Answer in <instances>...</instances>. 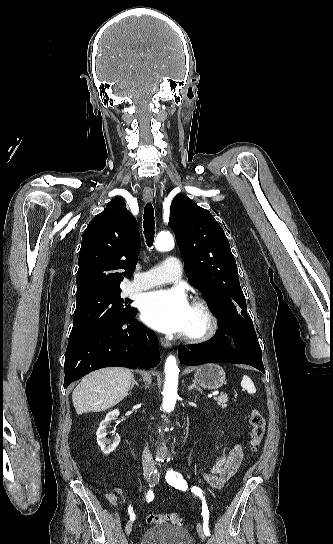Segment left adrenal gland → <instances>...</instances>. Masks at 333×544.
<instances>
[{"label": "left adrenal gland", "instance_id": "obj_1", "mask_svg": "<svg viewBox=\"0 0 333 544\" xmlns=\"http://www.w3.org/2000/svg\"><path fill=\"white\" fill-rule=\"evenodd\" d=\"M193 384L191 386L188 387V390L191 391L192 389H196L197 391H199L200 393H202V390L200 387L197 386L196 384V380H192Z\"/></svg>", "mask_w": 333, "mask_h": 544}]
</instances>
